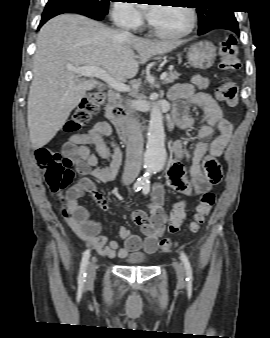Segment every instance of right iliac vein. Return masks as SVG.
<instances>
[{
    "label": "right iliac vein",
    "mask_w": 270,
    "mask_h": 338,
    "mask_svg": "<svg viewBox=\"0 0 270 338\" xmlns=\"http://www.w3.org/2000/svg\"><path fill=\"white\" fill-rule=\"evenodd\" d=\"M96 276V263L95 261H91L88 269H87V278H86V285H90L93 283Z\"/></svg>",
    "instance_id": "1"
}]
</instances>
